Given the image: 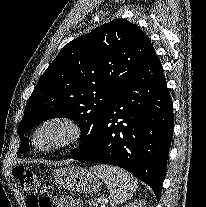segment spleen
Segmentation results:
<instances>
[{
    "instance_id": "spleen-1",
    "label": "spleen",
    "mask_w": 206,
    "mask_h": 207,
    "mask_svg": "<svg viewBox=\"0 0 206 207\" xmlns=\"http://www.w3.org/2000/svg\"><path fill=\"white\" fill-rule=\"evenodd\" d=\"M90 170L106 184L114 204L126 202L136 192L137 180L121 168L97 165Z\"/></svg>"
}]
</instances>
